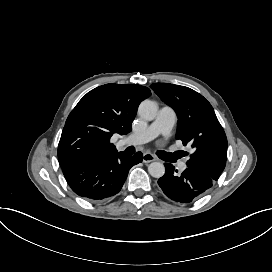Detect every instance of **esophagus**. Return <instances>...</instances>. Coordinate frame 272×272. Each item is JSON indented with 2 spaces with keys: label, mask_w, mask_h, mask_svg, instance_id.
Segmentation results:
<instances>
[{
  "label": "esophagus",
  "mask_w": 272,
  "mask_h": 272,
  "mask_svg": "<svg viewBox=\"0 0 272 272\" xmlns=\"http://www.w3.org/2000/svg\"><path fill=\"white\" fill-rule=\"evenodd\" d=\"M142 160H143L144 163H149V162H152V161H156L157 158H156V156L154 154L146 152V153L143 154Z\"/></svg>",
  "instance_id": "obj_1"
}]
</instances>
